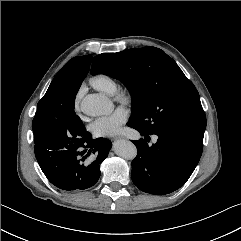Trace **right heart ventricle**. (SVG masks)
<instances>
[{"label":"right heart ventricle","mask_w":241,"mask_h":241,"mask_svg":"<svg viewBox=\"0 0 241 241\" xmlns=\"http://www.w3.org/2000/svg\"><path fill=\"white\" fill-rule=\"evenodd\" d=\"M90 84L96 90L107 95H113L118 89L117 81L110 75L104 73L92 76Z\"/></svg>","instance_id":"e07e8e85"}]
</instances>
